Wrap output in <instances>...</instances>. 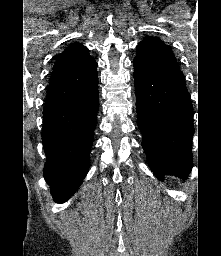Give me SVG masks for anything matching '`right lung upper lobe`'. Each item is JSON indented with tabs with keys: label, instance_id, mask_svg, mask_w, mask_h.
<instances>
[{
	"label": "right lung upper lobe",
	"instance_id": "right-lung-upper-lobe-1",
	"mask_svg": "<svg viewBox=\"0 0 221 256\" xmlns=\"http://www.w3.org/2000/svg\"><path fill=\"white\" fill-rule=\"evenodd\" d=\"M97 63L80 43L66 48L57 58L49 82L45 107L63 104L98 87Z\"/></svg>",
	"mask_w": 221,
	"mask_h": 256
}]
</instances>
